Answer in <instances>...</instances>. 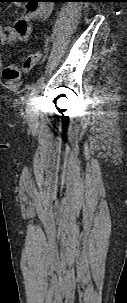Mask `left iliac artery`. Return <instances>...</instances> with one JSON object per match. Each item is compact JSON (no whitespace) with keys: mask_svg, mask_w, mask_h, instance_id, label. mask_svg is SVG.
<instances>
[{"mask_svg":"<svg viewBox=\"0 0 127 303\" xmlns=\"http://www.w3.org/2000/svg\"><path fill=\"white\" fill-rule=\"evenodd\" d=\"M44 79H45V76L42 75L37 81L35 84H33L31 87H30V94H29V99L30 100H33L35 95L37 94L39 88L43 85V82H44Z\"/></svg>","mask_w":127,"mask_h":303,"instance_id":"left-iliac-artery-1","label":"left iliac artery"}]
</instances>
